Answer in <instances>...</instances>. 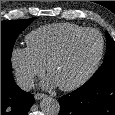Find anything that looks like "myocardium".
I'll use <instances>...</instances> for the list:
<instances>
[{"label": "myocardium", "mask_w": 115, "mask_h": 115, "mask_svg": "<svg viewBox=\"0 0 115 115\" xmlns=\"http://www.w3.org/2000/svg\"><path fill=\"white\" fill-rule=\"evenodd\" d=\"M87 33H95L98 35V37L100 39V50H99L98 56H97L95 62L93 63V65L91 66V68L83 76H81L80 78H78L77 80H75L69 84H57L59 86V88L64 91H72V90H75V89L81 87L87 81H89V79H91V77L96 73V71L98 70V68L101 64L102 58L104 56V51H105V41H104L103 35L97 29H94V28H85V29L73 34L50 57V59L48 60V62L46 64V71H47V74L50 76L52 68L60 60H62L65 57V55L68 53V51L70 50V48L72 47L74 42Z\"/></svg>", "instance_id": "1"}]
</instances>
